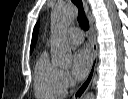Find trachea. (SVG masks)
I'll use <instances>...</instances> for the list:
<instances>
[{"label":"trachea","mask_w":128,"mask_h":99,"mask_svg":"<svg viewBox=\"0 0 128 99\" xmlns=\"http://www.w3.org/2000/svg\"><path fill=\"white\" fill-rule=\"evenodd\" d=\"M72 2L78 7V22H79V25L80 27L83 29V30H88L89 29V22L86 18V15H85V12L83 10V5H82V2L81 0H72Z\"/></svg>","instance_id":"trachea-1"}]
</instances>
